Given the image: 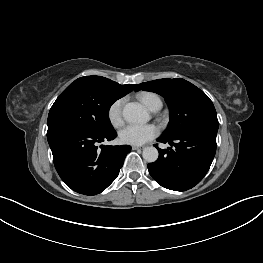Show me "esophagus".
I'll list each match as a JSON object with an SVG mask.
<instances>
[{"label": "esophagus", "mask_w": 263, "mask_h": 263, "mask_svg": "<svg viewBox=\"0 0 263 263\" xmlns=\"http://www.w3.org/2000/svg\"><path fill=\"white\" fill-rule=\"evenodd\" d=\"M143 148H144L143 146H132L133 150H141Z\"/></svg>", "instance_id": "obj_1"}]
</instances>
